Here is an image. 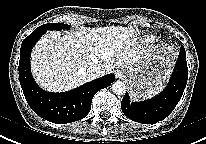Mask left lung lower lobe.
Listing matches in <instances>:
<instances>
[{"mask_svg":"<svg viewBox=\"0 0 206 144\" xmlns=\"http://www.w3.org/2000/svg\"><path fill=\"white\" fill-rule=\"evenodd\" d=\"M187 79L186 52L182 46L167 87L156 97L143 102L131 103L126 93L121 102L123 113L129 119L143 124H153L165 119L180 101Z\"/></svg>","mask_w":206,"mask_h":144,"instance_id":"1","label":"left lung lower lobe"}]
</instances>
